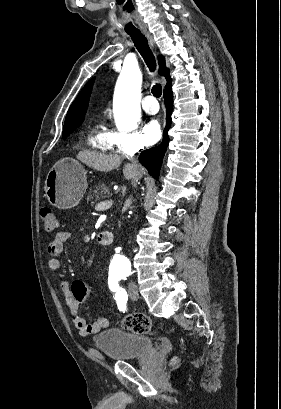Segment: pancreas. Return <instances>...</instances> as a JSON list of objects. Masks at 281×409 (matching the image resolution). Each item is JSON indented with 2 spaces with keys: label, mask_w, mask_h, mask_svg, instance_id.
Masks as SVG:
<instances>
[{
  "label": "pancreas",
  "mask_w": 281,
  "mask_h": 409,
  "mask_svg": "<svg viewBox=\"0 0 281 409\" xmlns=\"http://www.w3.org/2000/svg\"><path fill=\"white\" fill-rule=\"evenodd\" d=\"M109 193L112 192H110L106 184H99V186H96V190L88 192V200H91V198H103V196H108Z\"/></svg>",
  "instance_id": "pancreas-1"
}]
</instances>
